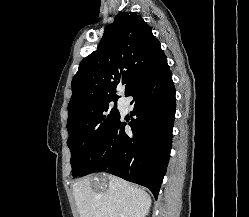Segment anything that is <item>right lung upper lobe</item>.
<instances>
[{
	"label": "right lung upper lobe",
	"instance_id": "1",
	"mask_svg": "<svg viewBox=\"0 0 249 217\" xmlns=\"http://www.w3.org/2000/svg\"><path fill=\"white\" fill-rule=\"evenodd\" d=\"M162 53L141 16L119 13L105 29L97 50L81 61L73 77L69 116L95 102L118 98L120 81L126 84V94Z\"/></svg>",
	"mask_w": 249,
	"mask_h": 217
}]
</instances>
